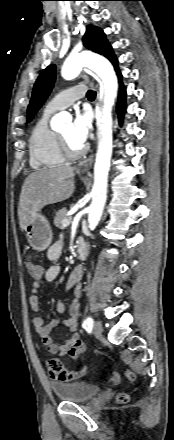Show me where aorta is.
I'll use <instances>...</instances> for the list:
<instances>
[{
    "label": "aorta",
    "mask_w": 174,
    "mask_h": 440,
    "mask_svg": "<svg viewBox=\"0 0 174 440\" xmlns=\"http://www.w3.org/2000/svg\"><path fill=\"white\" fill-rule=\"evenodd\" d=\"M83 67L92 70L101 80L104 87L103 97L96 108L98 124V150L94 167V186L92 202L89 208L88 222L95 227L103 214L107 198V181L112 155L111 109L117 96L118 81L112 64L103 56L94 53H81L68 57L61 69L65 80L74 79ZM66 118L65 113L53 117L51 125L58 128Z\"/></svg>",
    "instance_id": "762f6f07"
}]
</instances>
